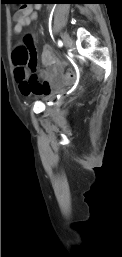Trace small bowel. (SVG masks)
<instances>
[{
	"instance_id": "small-bowel-1",
	"label": "small bowel",
	"mask_w": 122,
	"mask_h": 257,
	"mask_svg": "<svg viewBox=\"0 0 122 257\" xmlns=\"http://www.w3.org/2000/svg\"><path fill=\"white\" fill-rule=\"evenodd\" d=\"M36 18L37 13L32 6L22 8L14 15V32L20 34ZM41 62L45 69L41 70L38 75H30L24 67H16L15 77L22 95L27 97L48 96L52 92V85H57L60 82L64 84L66 73H63V63L57 60L50 46L43 49Z\"/></svg>"
}]
</instances>
